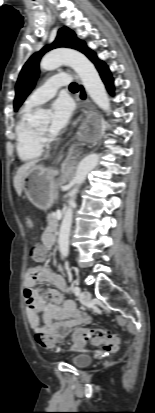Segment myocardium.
Listing matches in <instances>:
<instances>
[{"label":"myocardium","mask_w":155,"mask_h":413,"mask_svg":"<svg viewBox=\"0 0 155 413\" xmlns=\"http://www.w3.org/2000/svg\"><path fill=\"white\" fill-rule=\"evenodd\" d=\"M36 130V129H35ZM36 133L39 135V137H41V138H43L44 137V135H45V133H42V132H40V131H38V130H36Z\"/></svg>","instance_id":"f54148a6"}]
</instances>
